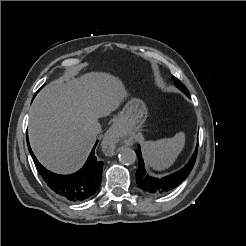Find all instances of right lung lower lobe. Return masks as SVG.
Returning a JSON list of instances; mask_svg holds the SVG:
<instances>
[{
  "mask_svg": "<svg viewBox=\"0 0 246 246\" xmlns=\"http://www.w3.org/2000/svg\"><path fill=\"white\" fill-rule=\"evenodd\" d=\"M29 152L34 164L46 184L62 199L70 202H80L91 197L99 188L103 170V162L97 160L94 155V145L85 165L78 172L71 175H58L44 168L31 150L27 138Z\"/></svg>",
  "mask_w": 246,
  "mask_h": 246,
  "instance_id": "obj_1",
  "label": "right lung lower lobe"
}]
</instances>
